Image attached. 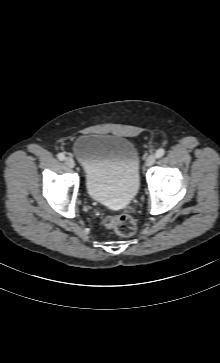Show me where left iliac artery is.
Wrapping results in <instances>:
<instances>
[{"mask_svg": "<svg viewBox=\"0 0 220 363\" xmlns=\"http://www.w3.org/2000/svg\"><path fill=\"white\" fill-rule=\"evenodd\" d=\"M164 154H165V149H164V148H160V149H158V150L156 151L155 156H156V158H160V157H162Z\"/></svg>", "mask_w": 220, "mask_h": 363, "instance_id": "44dca946", "label": "left iliac artery"}]
</instances>
